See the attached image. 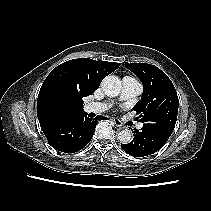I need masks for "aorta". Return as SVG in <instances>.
Masks as SVG:
<instances>
[{"label": "aorta", "instance_id": "762f6f07", "mask_svg": "<svg viewBox=\"0 0 211 211\" xmlns=\"http://www.w3.org/2000/svg\"><path fill=\"white\" fill-rule=\"evenodd\" d=\"M121 81L117 76L108 75L101 82V88L105 95L116 97L121 91ZM117 139L122 144H128L132 140V132L129 129H124L117 134Z\"/></svg>", "mask_w": 211, "mask_h": 211}]
</instances>
